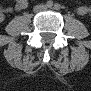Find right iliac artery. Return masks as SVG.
Returning a JSON list of instances; mask_svg holds the SVG:
<instances>
[{
  "label": "right iliac artery",
  "instance_id": "obj_1",
  "mask_svg": "<svg viewBox=\"0 0 91 91\" xmlns=\"http://www.w3.org/2000/svg\"><path fill=\"white\" fill-rule=\"evenodd\" d=\"M46 6L49 8V7H52L53 6V2L52 1H48L47 3H46Z\"/></svg>",
  "mask_w": 91,
  "mask_h": 91
}]
</instances>
